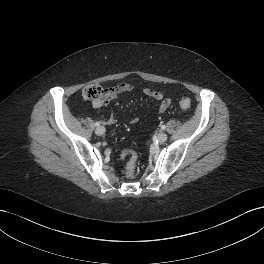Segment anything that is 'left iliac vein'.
<instances>
[{
	"instance_id": "left-iliac-vein-1",
	"label": "left iliac vein",
	"mask_w": 264,
	"mask_h": 264,
	"mask_svg": "<svg viewBox=\"0 0 264 264\" xmlns=\"http://www.w3.org/2000/svg\"><path fill=\"white\" fill-rule=\"evenodd\" d=\"M168 136L166 133L164 132H160L158 135H157V140L160 142V143H164L166 140H167Z\"/></svg>"
}]
</instances>
